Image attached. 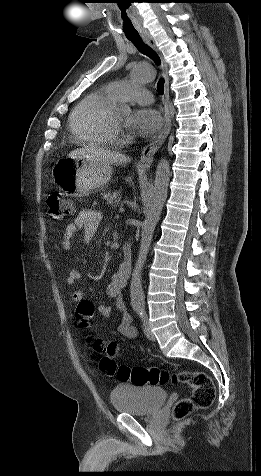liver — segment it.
<instances>
[{
	"mask_svg": "<svg viewBox=\"0 0 261 476\" xmlns=\"http://www.w3.org/2000/svg\"><path fill=\"white\" fill-rule=\"evenodd\" d=\"M68 157L74 159L87 158L93 161L108 163L111 165H122L131 161V159L124 154L94 145L76 149L70 152Z\"/></svg>",
	"mask_w": 261,
	"mask_h": 476,
	"instance_id": "1",
	"label": "liver"
}]
</instances>
